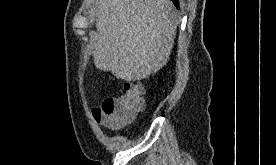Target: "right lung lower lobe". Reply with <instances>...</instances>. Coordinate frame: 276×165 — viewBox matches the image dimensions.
Instances as JSON below:
<instances>
[{
    "label": "right lung lower lobe",
    "instance_id": "right-lung-lower-lobe-1",
    "mask_svg": "<svg viewBox=\"0 0 276 165\" xmlns=\"http://www.w3.org/2000/svg\"><path fill=\"white\" fill-rule=\"evenodd\" d=\"M176 7H179V0H172Z\"/></svg>",
    "mask_w": 276,
    "mask_h": 165
}]
</instances>
